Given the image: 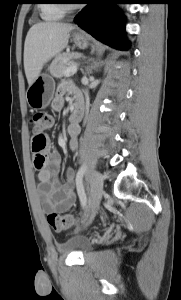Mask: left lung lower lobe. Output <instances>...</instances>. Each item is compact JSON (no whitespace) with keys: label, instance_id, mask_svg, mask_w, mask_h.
Here are the masks:
<instances>
[{"label":"left lung lower lobe","instance_id":"1","mask_svg":"<svg viewBox=\"0 0 181 300\" xmlns=\"http://www.w3.org/2000/svg\"><path fill=\"white\" fill-rule=\"evenodd\" d=\"M87 6L76 16L75 22L96 39L121 50H128L122 17L115 4L122 0H86Z\"/></svg>","mask_w":181,"mask_h":300}]
</instances>
